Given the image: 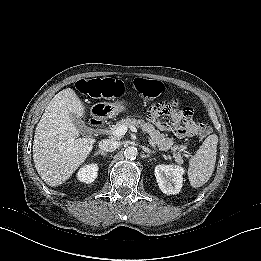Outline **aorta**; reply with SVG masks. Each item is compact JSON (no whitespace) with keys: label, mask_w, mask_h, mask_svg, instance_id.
Masks as SVG:
<instances>
[{"label":"aorta","mask_w":261,"mask_h":261,"mask_svg":"<svg viewBox=\"0 0 261 261\" xmlns=\"http://www.w3.org/2000/svg\"><path fill=\"white\" fill-rule=\"evenodd\" d=\"M124 157L128 160H134L137 157V150L134 147H128L124 151Z\"/></svg>","instance_id":"aorta-1"}]
</instances>
